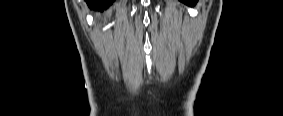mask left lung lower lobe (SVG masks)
Returning a JSON list of instances; mask_svg holds the SVG:
<instances>
[{
    "label": "left lung lower lobe",
    "mask_w": 283,
    "mask_h": 116,
    "mask_svg": "<svg viewBox=\"0 0 283 116\" xmlns=\"http://www.w3.org/2000/svg\"><path fill=\"white\" fill-rule=\"evenodd\" d=\"M181 1L190 6L194 5L197 2V0H181Z\"/></svg>",
    "instance_id": "1"
}]
</instances>
